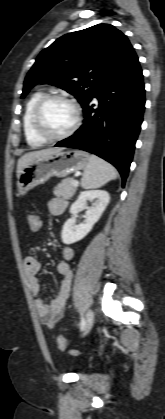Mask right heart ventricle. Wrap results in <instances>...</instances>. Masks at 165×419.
<instances>
[{
    "instance_id": "obj_1",
    "label": "right heart ventricle",
    "mask_w": 165,
    "mask_h": 419,
    "mask_svg": "<svg viewBox=\"0 0 165 419\" xmlns=\"http://www.w3.org/2000/svg\"><path fill=\"white\" fill-rule=\"evenodd\" d=\"M43 96L42 92L33 93L26 102L24 114L22 118L23 131L26 142L32 147H40L45 144V140L40 138L32 126V111L36 102Z\"/></svg>"
}]
</instances>
